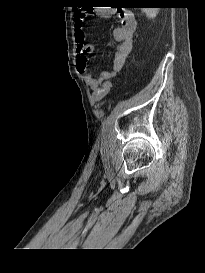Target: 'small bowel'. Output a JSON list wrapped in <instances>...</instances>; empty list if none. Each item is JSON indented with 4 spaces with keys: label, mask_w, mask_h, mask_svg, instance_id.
<instances>
[{
    "label": "small bowel",
    "mask_w": 205,
    "mask_h": 273,
    "mask_svg": "<svg viewBox=\"0 0 205 273\" xmlns=\"http://www.w3.org/2000/svg\"><path fill=\"white\" fill-rule=\"evenodd\" d=\"M117 13L120 26L114 30V38L118 45L116 46L113 57V72L102 71L98 76L88 72L87 61L90 54L94 51V46L86 42V33L83 31L85 15L81 12L74 13L75 39L77 42V69L83 75L86 84L96 93L100 85L109 80L122 69L127 57L129 56L132 45L133 35L137 28V21L130 11H115L110 8H102L97 15L100 18H110Z\"/></svg>",
    "instance_id": "small-bowel-1"
}]
</instances>
